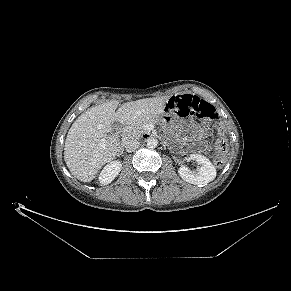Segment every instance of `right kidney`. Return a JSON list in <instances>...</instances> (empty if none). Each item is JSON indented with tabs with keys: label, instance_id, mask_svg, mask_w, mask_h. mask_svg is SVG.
Segmentation results:
<instances>
[{
	"label": "right kidney",
	"instance_id": "right-kidney-1",
	"mask_svg": "<svg viewBox=\"0 0 291 291\" xmlns=\"http://www.w3.org/2000/svg\"><path fill=\"white\" fill-rule=\"evenodd\" d=\"M122 168V163L119 160L108 163L100 173L99 181L106 185L111 183L119 174Z\"/></svg>",
	"mask_w": 291,
	"mask_h": 291
}]
</instances>
